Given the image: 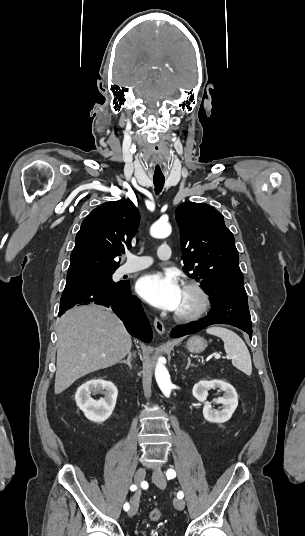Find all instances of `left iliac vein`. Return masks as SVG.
Listing matches in <instances>:
<instances>
[{"label": "left iliac vein", "mask_w": 305, "mask_h": 536, "mask_svg": "<svg viewBox=\"0 0 305 536\" xmlns=\"http://www.w3.org/2000/svg\"><path fill=\"white\" fill-rule=\"evenodd\" d=\"M153 481L155 485L160 489H164L166 487V480H165L164 474L160 470L154 471ZM174 506L176 509L182 510L185 507V501L183 499H175Z\"/></svg>", "instance_id": "4c4485c4"}]
</instances>
